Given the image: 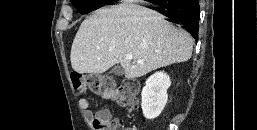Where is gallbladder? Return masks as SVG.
Instances as JSON below:
<instances>
[{
	"label": "gallbladder",
	"mask_w": 257,
	"mask_h": 130,
	"mask_svg": "<svg viewBox=\"0 0 257 130\" xmlns=\"http://www.w3.org/2000/svg\"><path fill=\"white\" fill-rule=\"evenodd\" d=\"M111 72L117 76H122L124 74V69L121 66H115L112 68Z\"/></svg>",
	"instance_id": "bac80fb5"
}]
</instances>
